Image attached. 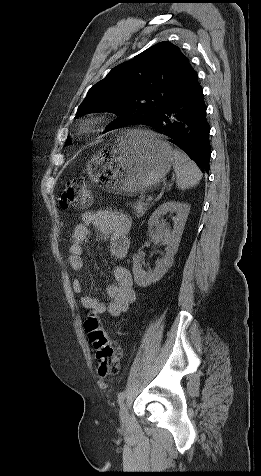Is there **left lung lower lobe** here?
Returning a JSON list of instances; mask_svg holds the SVG:
<instances>
[{"instance_id":"obj_1","label":"left lung lower lobe","mask_w":261,"mask_h":476,"mask_svg":"<svg viewBox=\"0 0 261 476\" xmlns=\"http://www.w3.org/2000/svg\"><path fill=\"white\" fill-rule=\"evenodd\" d=\"M142 125L153 127L208 173L211 146L203 90L195 72L165 110Z\"/></svg>"}]
</instances>
